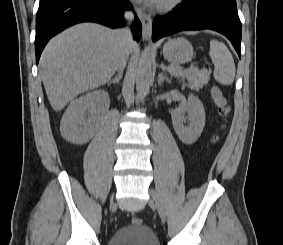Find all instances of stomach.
<instances>
[{
  "mask_svg": "<svg viewBox=\"0 0 283 245\" xmlns=\"http://www.w3.org/2000/svg\"><path fill=\"white\" fill-rule=\"evenodd\" d=\"M193 55L191 43L184 38L171 39L163 46L164 58L175 65L191 61Z\"/></svg>",
  "mask_w": 283,
  "mask_h": 245,
  "instance_id": "0dacf381",
  "label": "stomach"
}]
</instances>
